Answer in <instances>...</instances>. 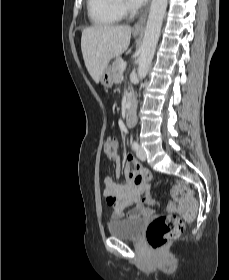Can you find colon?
<instances>
[{
    "label": "colon",
    "instance_id": "5ec220e1",
    "mask_svg": "<svg viewBox=\"0 0 229 280\" xmlns=\"http://www.w3.org/2000/svg\"><path fill=\"white\" fill-rule=\"evenodd\" d=\"M115 142L108 138L104 143V153L108 158L114 155ZM149 176L137 175L134 179L136 184L148 182ZM171 195L178 205L180 217L176 215L160 216L154 219L147 228L146 237L154 251L162 249L168 242L180 235L184 228V222L191 221L199 211V203L193 196L191 189L185 184H174L171 186ZM151 204H156L155 200Z\"/></svg>",
    "mask_w": 229,
    "mask_h": 280
}]
</instances>
